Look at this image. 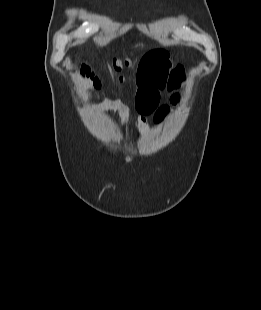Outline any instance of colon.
<instances>
[{"label":"colon","instance_id":"5ec220e1","mask_svg":"<svg viewBox=\"0 0 261 310\" xmlns=\"http://www.w3.org/2000/svg\"><path fill=\"white\" fill-rule=\"evenodd\" d=\"M132 64L131 60L125 59V60H115L113 62V68L115 71L121 73L123 69L130 67ZM77 73L84 79H89L93 82V85L96 88H100L102 85L101 79L98 77V75L95 73V71L92 69L91 66H89L86 63H83L77 67ZM124 77H120V80L122 81Z\"/></svg>","mask_w":261,"mask_h":310}]
</instances>
